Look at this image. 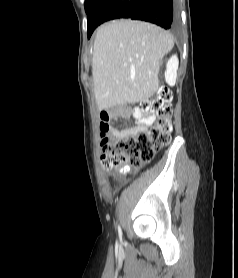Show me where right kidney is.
<instances>
[{
    "label": "right kidney",
    "mask_w": 238,
    "mask_h": 278,
    "mask_svg": "<svg viewBox=\"0 0 238 278\" xmlns=\"http://www.w3.org/2000/svg\"><path fill=\"white\" fill-rule=\"evenodd\" d=\"M178 58L173 55L166 64L165 79L169 85H174L177 77Z\"/></svg>",
    "instance_id": "obj_1"
}]
</instances>
